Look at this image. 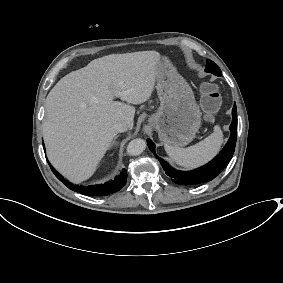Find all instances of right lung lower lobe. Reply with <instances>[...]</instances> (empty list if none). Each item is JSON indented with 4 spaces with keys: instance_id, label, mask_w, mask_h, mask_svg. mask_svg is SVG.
<instances>
[{
    "instance_id": "1",
    "label": "right lung lower lobe",
    "mask_w": 283,
    "mask_h": 283,
    "mask_svg": "<svg viewBox=\"0 0 283 283\" xmlns=\"http://www.w3.org/2000/svg\"><path fill=\"white\" fill-rule=\"evenodd\" d=\"M50 165V164H49ZM51 170L55 176L64 183L69 189L78 193L88 196H106L114 192L119 191L127 182V173L125 169H122V173L115 180L107 182L105 184L95 186H78L63 179V177L50 165Z\"/></svg>"
}]
</instances>
